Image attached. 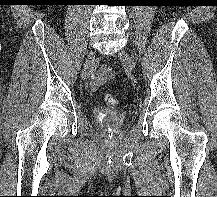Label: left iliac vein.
Masks as SVG:
<instances>
[{"label": "left iliac vein", "instance_id": "1", "mask_svg": "<svg viewBox=\"0 0 217 197\" xmlns=\"http://www.w3.org/2000/svg\"><path fill=\"white\" fill-rule=\"evenodd\" d=\"M119 58L121 61L130 69L133 70L135 68L134 61L132 57L125 51H120L119 52Z\"/></svg>", "mask_w": 217, "mask_h": 197}]
</instances>
